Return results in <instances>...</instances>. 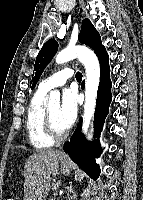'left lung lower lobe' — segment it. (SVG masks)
Instances as JSON below:
<instances>
[{
	"label": "left lung lower lobe",
	"mask_w": 143,
	"mask_h": 200,
	"mask_svg": "<svg viewBox=\"0 0 143 200\" xmlns=\"http://www.w3.org/2000/svg\"><path fill=\"white\" fill-rule=\"evenodd\" d=\"M96 55L100 62V84L97 93V104L95 110V133L98 135L101 132L105 118L109 112V105L112 99L111 94V81H110V67L109 58L102 46L97 50ZM84 86V82H83ZM80 119L78 128L74 132L71 140L64 146V151L69 154L70 158L90 177L97 179L100 174L99 166L95 163L94 157H99L100 148L97 143H87L85 138L81 134Z\"/></svg>",
	"instance_id": "1"
}]
</instances>
